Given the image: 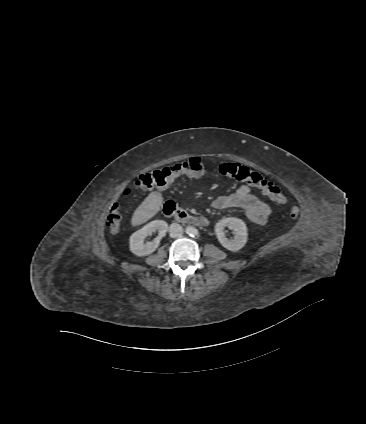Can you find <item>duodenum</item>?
<instances>
[{
    "label": "duodenum",
    "instance_id": "1",
    "mask_svg": "<svg viewBox=\"0 0 366 424\" xmlns=\"http://www.w3.org/2000/svg\"><path fill=\"white\" fill-rule=\"evenodd\" d=\"M163 211L165 216L172 217L181 223L192 224L199 227H206L209 224V221L205 217L189 215L172 201L165 203Z\"/></svg>",
    "mask_w": 366,
    "mask_h": 424
}]
</instances>
